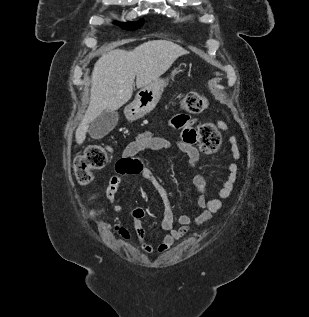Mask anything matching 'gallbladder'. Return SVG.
<instances>
[{
	"instance_id": "obj_1",
	"label": "gallbladder",
	"mask_w": 309,
	"mask_h": 317,
	"mask_svg": "<svg viewBox=\"0 0 309 317\" xmlns=\"http://www.w3.org/2000/svg\"><path fill=\"white\" fill-rule=\"evenodd\" d=\"M118 122L117 111L105 110L91 123L89 134L93 139H101L114 129Z\"/></svg>"
}]
</instances>
